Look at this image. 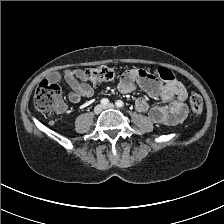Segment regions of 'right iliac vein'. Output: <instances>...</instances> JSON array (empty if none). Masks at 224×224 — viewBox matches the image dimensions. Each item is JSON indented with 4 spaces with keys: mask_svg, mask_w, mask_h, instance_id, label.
<instances>
[{
    "mask_svg": "<svg viewBox=\"0 0 224 224\" xmlns=\"http://www.w3.org/2000/svg\"><path fill=\"white\" fill-rule=\"evenodd\" d=\"M102 109H103V106L102 105H97L94 108V113L95 114H99L102 111Z\"/></svg>",
    "mask_w": 224,
    "mask_h": 224,
    "instance_id": "1",
    "label": "right iliac vein"
}]
</instances>
